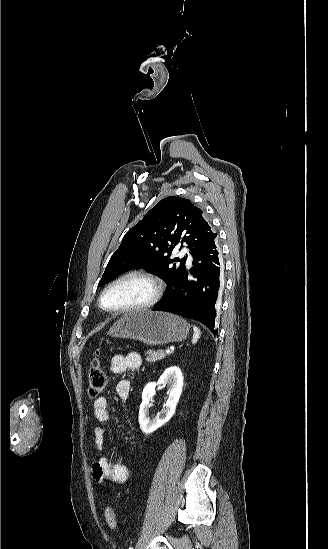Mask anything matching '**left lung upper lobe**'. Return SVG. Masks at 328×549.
Masks as SVG:
<instances>
[{
	"label": "left lung upper lobe",
	"instance_id": "5c2ea615",
	"mask_svg": "<svg viewBox=\"0 0 328 549\" xmlns=\"http://www.w3.org/2000/svg\"><path fill=\"white\" fill-rule=\"evenodd\" d=\"M217 237L203 218L202 210L190 200L170 196L159 201L123 237L121 245L111 256L99 282L104 285L118 275L133 269H144L167 283L168 295L185 271L183 257H172L174 248H188L193 256ZM165 295V296H166Z\"/></svg>",
	"mask_w": 328,
	"mask_h": 549
}]
</instances>
